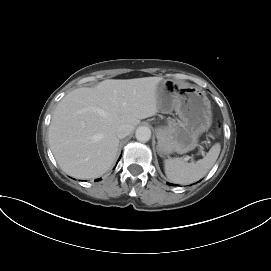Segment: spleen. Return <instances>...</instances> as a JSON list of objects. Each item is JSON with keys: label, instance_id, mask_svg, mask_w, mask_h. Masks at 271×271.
<instances>
[{"label": "spleen", "instance_id": "3e777b00", "mask_svg": "<svg viewBox=\"0 0 271 271\" xmlns=\"http://www.w3.org/2000/svg\"><path fill=\"white\" fill-rule=\"evenodd\" d=\"M221 146L214 144L207 155L196 162L187 163L182 158H171L164 161L167 178L176 184H190L203 178L215 164Z\"/></svg>", "mask_w": 271, "mask_h": 271}]
</instances>
